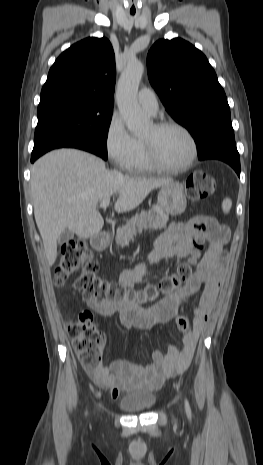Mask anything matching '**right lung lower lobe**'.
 Returning <instances> with one entry per match:
<instances>
[{
	"label": "right lung lower lobe",
	"instance_id": "98d812e1",
	"mask_svg": "<svg viewBox=\"0 0 263 465\" xmlns=\"http://www.w3.org/2000/svg\"><path fill=\"white\" fill-rule=\"evenodd\" d=\"M62 147H70V148H77L81 150H85L88 152H91L93 154H96L98 156L99 152L97 149H95L93 146H91L89 143L78 139L74 137H63V138H58L52 141H49L42 145L39 149L32 151L31 155V162H34L37 158L45 154L46 152L56 149V148H62Z\"/></svg>",
	"mask_w": 263,
	"mask_h": 465
}]
</instances>
